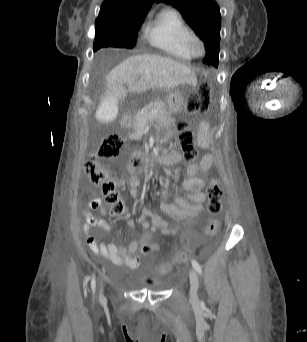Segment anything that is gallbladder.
<instances>
[{
    "label": "gallbladder",
    "instance_id": "obj_1",
    "mask_svg": "<svg viewBox=\"0 0 307 342\" xmlns=\"http://www.w3.org/2000/svg\"><path fill=\"white\" fill-rule=\"evenodd\" d=\"M122 101V95H103L102 102L95 108L98 123H112V118L118 113L119 102Z\"/></svg>",
    "mask_w": 307,
    "mask_h": 342
}]
</instances>
